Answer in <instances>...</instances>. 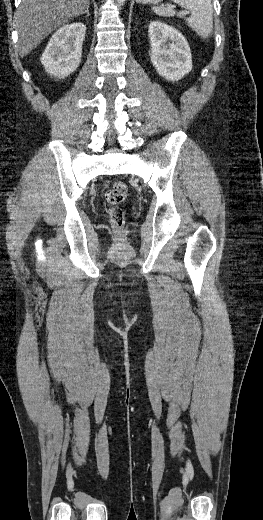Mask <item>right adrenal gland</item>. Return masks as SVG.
<instances>
[{
  "label": "right adrenal gland",
  "instance_id": "obj_1",
  "mask_svg": "<svg viewBox=\"0 0 263 520\" xmlns=\"http://www.w3.org/2000/svg\"><path fill=\"white\" fill-rule=\"evenodd\" d=\"M84 14H86V16H87V17H89V16H90V13H89V7H88V8L86 9V11H85V13H84Z\"/></svg>",
  "mask_w": 263,
  "mask_h": 520
}]
</instances>
